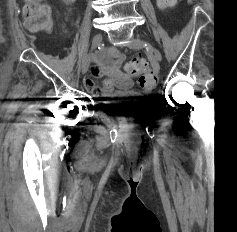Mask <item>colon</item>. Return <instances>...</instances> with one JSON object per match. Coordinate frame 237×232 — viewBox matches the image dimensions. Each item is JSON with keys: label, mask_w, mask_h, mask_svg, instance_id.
<instances>
[{"label": "colon", "mask_w": 237, "mask_h": 232, "mask_svg": "<svg viewBox=\"0 0 237 232\" xmlns=\"http://www.w3.org/2000/svg\"><path fill=\"white\" fill-rule=\"evenodd\" d=\"M161 11L175 5L176 0H156ZM25 27L31 32H49L53 27V17L50 7L42 0H25L23 9ZM129 74L138 78L140 85L151 89L157 82V67L150 63L144 56L138 55L127 65Z\"/></svg>", "instance_id": "obj_1"}]
</instances>
